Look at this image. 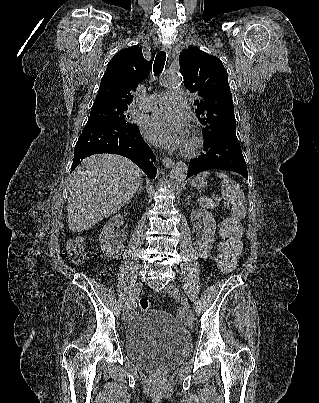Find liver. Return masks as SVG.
<instances>
[{"mask_svg":"<svg viewBox=\"0 0 319 403\" xmlns=\"http://www.w3.org/2000/svg\"><path fill=\"white\" fill-rule=\"evenodd\" d=\"M142 170L129 159L100 154L86 158L72 173L67 218L72 232H83L118 212L134 196Z\"/></svg>","mask_w":319,"mask_h":403,"instance_id":"1","label":"liver"}]
</instances>
